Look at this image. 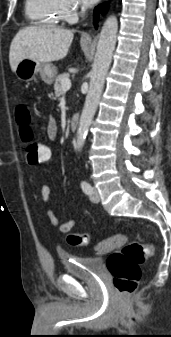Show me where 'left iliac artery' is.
Here are the masks:
<instances>
[{"instance_id":"1","label":"left iliac artery","mask_w":171,"mask_h":337,"mask_svg":"<svg viewBox=\"0 0 171 337\" xmlns=\"http://www.w3.org/2000/svg\"><path fill=\"white\" fill-rule=\"evenodd\" d=\"M81 188L86 194H90L92 192L91 185L85 180L81 182Z\"/></svg>"}]
</instances>
